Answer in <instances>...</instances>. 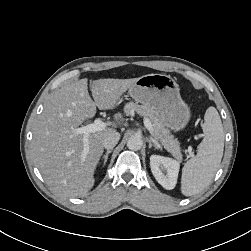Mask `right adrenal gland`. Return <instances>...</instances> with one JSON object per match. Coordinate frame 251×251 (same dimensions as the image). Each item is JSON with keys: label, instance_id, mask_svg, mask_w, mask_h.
<instances>
[{"label": "right adrenal gland", "instance_id": "2a0ac1e0", "mask_svg": "<svg viewBox=\"0 0 251 251\" xmlns=\"http://www.w3.org/2000/svg\"><path fill=\"white\" fill-rule=\"evenodd\" d=\"M111 152H112V149H111V150H107V152L102 156L103 165L106 164L107 159H108V155H109Z\"/></svg>", "mask_w": 251, "mask_h": 251}]
</instances>
